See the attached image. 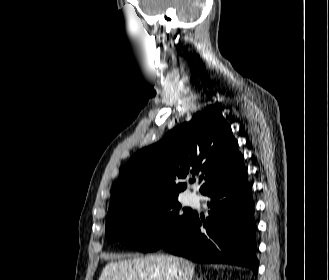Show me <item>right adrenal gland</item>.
<instances>
[{"instance_id": "right-adrenal-gland-1", "label": "right adrenal gland", "mask_w": 329, "mask_h": 280, "mask_svg": "<svg viewBox=\"0 0 329 280\" xmlns=\"http://www.w3.org/2000/svg\"><path fill=\"white\" fill-rule=\"evenodd\" d=\"M190 280H192V279H190ZM194 280H203V278L202 277H196Z\"/></svg>"}]
</instances>
